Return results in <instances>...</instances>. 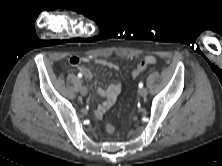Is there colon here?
I'll list each match as a JSON object with an SVG mask.
<instances>
[{
  "label": "colon",
  "instance_id": "colon-1",
  "mask_svg": "<svg viewBox=\"0 0 222 166\" xmlns=\"http://www.w3.org/2000/svg\"><path fill=\"white\" fill-rule=\"evenodd\" d=\"M147 66H148V63L146 61L140 62L136 66V68L133 70L132 77L137 78L141 73H143L146 70ZM105 128H106V131L109 133H112L114 131V127L111 124H106Z\"/></svg>",
  "mask_w": 222,
  "mask_h": 166
}]
</instances>
